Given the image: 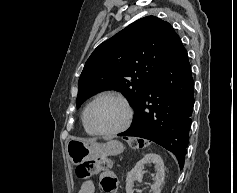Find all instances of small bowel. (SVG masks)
I'll return each instance as SVG.
<instances>
[{
	"instance_id": "obj_1",
	"label": "small bowel",
	"mask_w": 237,
	"mask_h": 193,
	"mask_svg": "<svg viewBox=\"0 0 237 193\" xmlns=\"http://www.w3.org/2000/svg\"><path fill=\"white\" fill-rule=\"evenodd\" d=\"M101 186L102 189L106 193H115L116 191V185H117V179L116 175L112 171H104L102 172L101 176ZM78 193H95V185L92 181L84 182Z\"/></svg>"
}]
</instances>
